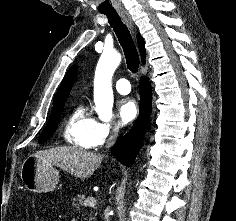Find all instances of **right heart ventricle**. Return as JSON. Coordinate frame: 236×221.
Returning <instances> with one entry per match:
<instances>
[{
  "instance_id": "e07e8e85",
  "label": "right heart ventricle",
  "mask_w": 236,
  "mask_h": 221,
  "mask_svg": "<svg viewBox=\"0 0 236 221\" xmlns=\"http://www.w3.org/2000/svg\"><path fill=\"white\" fill-rule=\"evenodd\" d=\"M96 125L95 118L83 104L77 105L69 115L65 128L64 138L72 146L79 149L93 147V131Z\"/></svg>"
}]
</instances>
